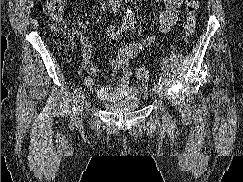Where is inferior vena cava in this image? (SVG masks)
Segmentation results:
<instances>
[{"label":"inferior vena cava","mask_w":243,"mask_h":182,"mask_svg":"<svg viewBox=\"0 0 243 182\" xmlns=\"http://www.w3.org/2000/svg\"><path fill=\"white\" fill-rule=\"evenodd\" d=\"M107 1H108V5L111 8V10L114 13H117L118 9H119V0H107Z\"/></svg>","instance_id":"inferior-vena-cava-1"}]
</instances>
